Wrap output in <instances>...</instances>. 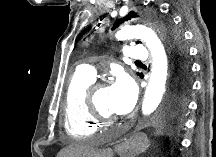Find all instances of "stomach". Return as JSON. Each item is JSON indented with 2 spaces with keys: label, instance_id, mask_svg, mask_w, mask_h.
<instances>
[{
  "label": "stomach",
  "instance_id": "obj_1",
  "mask_svg": "<svg viewBox=\"0 0 216 157\" xmlns=\"http://www.w3.org/2000/svg\"><path fill=\"white\" fill-rule=\"evenodd\" d=\"M121 147L128 155H138L149 147V140L144 133H134L129 138L124 139Z\"/></svg>",
  "mask_w": 216,
  "mask_h": 157
}]
</instances>
